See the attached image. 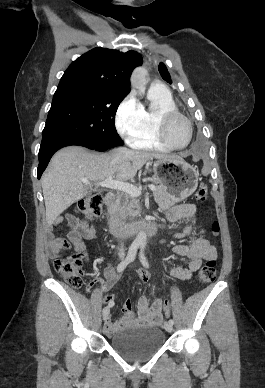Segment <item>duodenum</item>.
<instances>
[{
  "label": "duodenum",
  "mask_w": 265,
  "mask_h": 388,
  "mask_svg": "<svg viewBox=\"0 0 265 388\" xmlns=\"http://www.w3.org/2000/svg\"><path fill=\"white\" fill-rule=\"evenodd\" d=\"M117 196L109 192L105 196V205L107 207V223L110 232L118 237L133 236L138 234L155 235L158 231V225L154 220H138L130 223L123 222L114 212Z\"/></svg>",
  "instance_id": "1"
}]
</instances>
